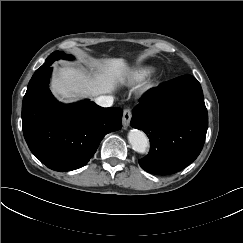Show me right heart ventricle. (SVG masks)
I'll return each instance as SVG.
<instances>
[{
    "label": "right heart ventricle",
    "mask_w": 243,
    "mask_h": 243,
    "mask_svg": "<svg viewBox=\"0 0 243 243\" xmlns=\"http://www.w3.org/2000/svg\"><path fill=\"white\" fill-rule=\"evenodd\" d=\"M152 70L153 69L149 66L138 67L131 71L129 78L133 82L141 81L147 77L152 72Z\"/></svg>",
    "instance_id": "right-heart-ventricle-1"
}]
</instances>
